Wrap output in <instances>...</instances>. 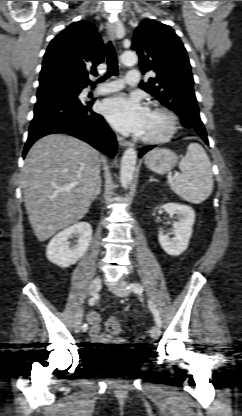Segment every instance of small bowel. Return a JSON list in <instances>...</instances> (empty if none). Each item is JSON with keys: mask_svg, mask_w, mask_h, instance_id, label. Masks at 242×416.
I'll return each instance as SVG.
<instances>
[{"mask_svg": "<svg viewBox=\"0 0 242 416\" xmlns=\"http://www.w3.org/2000/svg\"><path fill=\"white\" fill-rule=\"evenodd\" d=\"M86 319L90 324L89 339L94 344H109L113 339L106 334L100 332V316L96 312H90L87 314Z\"/></svg>", "mask_w": 242, "mask_h": 416, "instance_id": "c3829d8e", "label": "small bowel"}]
</instances>
